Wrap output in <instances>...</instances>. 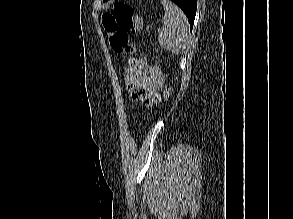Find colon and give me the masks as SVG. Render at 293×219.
I'll return each mask as SVG.
<instances>
[{
	"instance_id": "5ec220e1",
	"label": "colon",
	"mask_w": 293,
	"mask_h": 219,
	"mask_svg": "<svg viewBox=\"0 0 293 219\" xmlns=\"http://www.w3.org/2000/svg\"><path fill=\"white\" fill-rule=\"evenodd\" d=\"M102 24L107 33L111 49L120 55H135L138 47L130 41V34H136L143 28L142 19L132 7L123 2L115 3L103 14ZM146 58L132 57L127 66L128 74H140L146 67ZM172 94V87L166 83L163 88V99L167 101Z\"/></svg>"
}]
</instances>
